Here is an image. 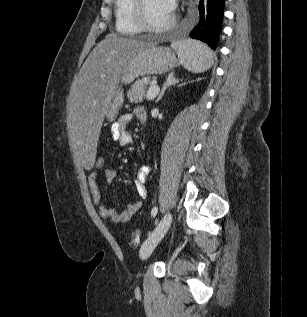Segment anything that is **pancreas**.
<instances>
[{"mask_svg": "<svg viewBox=\"0 0 307 317\" xmlns=\"http://www.w3.org/2000/svg\"><path fill=\"white\" fill-rule=\"evenodd\" d=\"M150 83L149 77H143L138 79L131 85L130 89L127 92V98L130 103H139L142 102L145 98L147 85Z\"/></svg>", "mask_w": 307, "mask_h": 317, "instance_id": "1", "label": "pancreas"}]
</instances>
